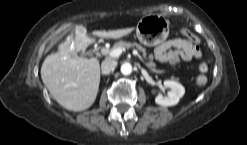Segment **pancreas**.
Returning a JSON list of instances; mask_svg holds the SVG:
<instances>
[{
	"label": "pancreas",
	"instance_id": "cf45deb5",
	"mask_svg": "<svg viewBox=\"0 0 247 145\" xmlns=\"http://www.w3.org/2000/svg\"><path fill=\"white\" fill-rule=\"evenodd\" d=\"M131 47H136L142 54H143V56H144V58H146V56H147V53H146V49L144 48V47H142L140 44H138V43H130V42H124V41H120V42H118V43H115L114 44V46L112 47V49H104L103 50V53L104 54H109L110 53V51H112L113 49H116V48H122V49H129V48H131ZM148 58L150 59V60H152L153 59V55L152 54H150L149 56H148Z\"/></svg>",
	"mask_w": 247,
	"mask_h": 145
}]
</instances>
